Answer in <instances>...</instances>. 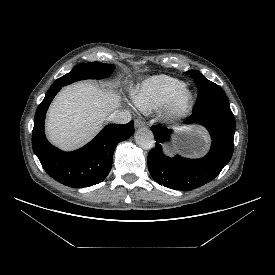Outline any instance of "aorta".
<instances>
[{
  "instance_id": "1",
  "label": "aorta",
  "mask_w": 275,
  "mask_h": 275,
  "mask_svg": "<svg viewBox=\"0 0 275 275\" xmlns=\"http://www.w3.org/2000/svg\"><path fill=\"white\" fill-rule=\"evenodd\" d=\"M135 141L139 147L145 150H150L155 145L154 135L152 131L145 127L137 130L135 134Z\"/></svg>"
}]
</instances>
